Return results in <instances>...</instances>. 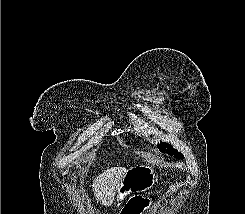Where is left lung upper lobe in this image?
<instances>
[{
    "instance_id": "left-lung-upper-lobe-1",
    "label": "left lung upper lobe",
    "mask_w": 245,
    "mask_h": 214,
    "mask_svg": "<svg viewBox=\"0 0 245 214\" xmlns=\"http://www.w3.org/2000/svg\"><path fill=\"white\" fill-rule=\"evenodd\" d=\"M159 148L161 151H166L170 155L174 154V156L178 159H184L182 153L178 152L176 149H174L171 145H168L167 143L160 144Z\"/></svg>"
}]
</instances>
